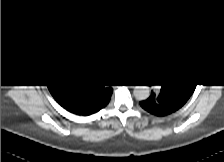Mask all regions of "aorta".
Masks as SVG:
<instances>
[{"instance_id": "762f6f07", "label": "aorta", "mask_w": 224, "mask_h": 162, "mask_svg": "<svg viewBox=\"0 0 224 162\" xmlns=\"http://www.w3.org/2000/svg\"><path fill=\"white\" fill-rule=\"evenodd\" d=\"M134 97L137 100H146L149 97V91L145 86H136L133 91Z\"/></svg>"}]
</instances>
